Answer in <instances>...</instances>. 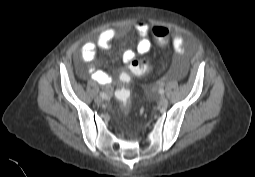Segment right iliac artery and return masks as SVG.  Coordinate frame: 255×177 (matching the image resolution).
<instances>
[{"label":"right iliac artery","mask_w":255,"mask_h":177,"mask_svg":"<svg viewBox=\"0 0 255 177\" xmlns=\"http://www.w3.org/2000/svg\"><path fill=\"white\" fill-rule=\"evenodd\" d=\"M100 96H101L103 99H108V96H107L104 92H100Z\"/></svg>","instance_id":"82829eb1"}]
</instances>
